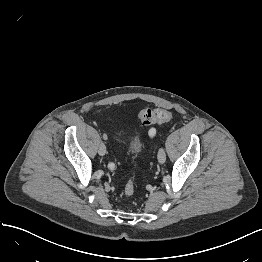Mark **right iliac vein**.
<instances>
[{
  "mask_svg": "<svg viewBox=\"0 0 262 262\" xmlns=\"http://www.w3.org/2000/svg\"><path fill=\"white\" fill-rule=\"evenodd\" d=\"M99 155L103 156L106 154V146L104 143H101L98 148Z\"/></svg>",
  "mask_w": 262,
  "mask_h": 262,
  "instance_id": "right-iliac-vein-1",
  "label": "right iliac vein"
}]
</instances>
